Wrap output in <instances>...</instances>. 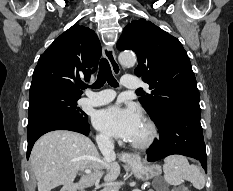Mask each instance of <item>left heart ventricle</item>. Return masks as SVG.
I'll return each mask as SVG.
<instances>
[{"instance_id":"1","label":"left heart ventricle","mask_w":233,"mask_h":191,"mask_svg":"<svg viewBox=\"0 0 233 191\" xmlns=\"http://www.w3.org/2000/svg\"><path fill=\"white\" fill-rule=\"evenodd\" d=\"M148 136V127L146 124L142 121L139 129L137 130L135 136L131 140V142H142L144 141Z\"/></svg>"}]
</instances>
